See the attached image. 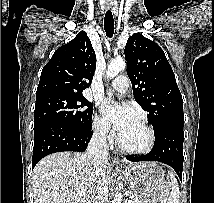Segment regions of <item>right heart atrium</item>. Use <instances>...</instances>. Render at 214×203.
<instances>
[{
  "mask_svg": "<svg viewBox=\"0 0 214 203\" xmlns=\"http://www.w3.org/2000/svg\"><path fill=\"white\" fill-rule=\"evenodd\" d=\"M92 128L98 138L108 139L111 137L110 125L103 117L97 114L93 117Z\"/></svg>",
  "mask_w": 214,
  "mask_h": 203,
  "instance_id": "d8ad5b80",
  "label": "right heart atrium"
}]
</instances>
